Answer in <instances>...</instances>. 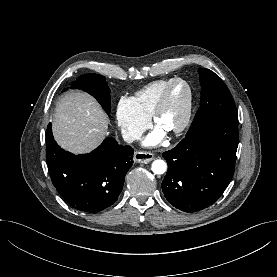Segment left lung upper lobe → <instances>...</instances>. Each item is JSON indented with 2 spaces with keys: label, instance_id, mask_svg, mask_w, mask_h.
<instances>
[{
  "label": "left lung upper lobe",
  "instance_id": "obj_1",
  "mask_svg": "<svg viewBox=\"0 0 277 277\" xmlns=\"http://www.w3.org/2000/svg\"><path fill=\"white\" fill-rule=\"evenodd\" d=\"M201 100L192 125L186 135L212 124L238 126V112L223 80L209 69H199Z\"/></svg>",
  "mask_w": 277,
  "mask_h": 277
}]
</instances>
